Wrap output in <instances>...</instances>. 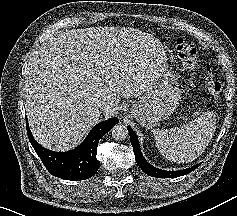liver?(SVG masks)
I'll list each match as a JSON object with an SVG mask.
<instances>
[{
	"mask_svg": "<svg viewBox=\"0 0 237 216\" xmlns=\"http://www.w3.org/2000/svg\"><path fill=\"white\" fill-rule=\"evenodd\" d=\"M115 29H71L51 37L33 59L25 76V108L35 140L43 147H76L98 122V102L118 103L147 89L145 67L123 64Z\"/></svg>",
	"mask_w": 237,
	"mask_h": 216,
	"instance_id": "obj_1",
	"label": "liver"
}]
</instances>
